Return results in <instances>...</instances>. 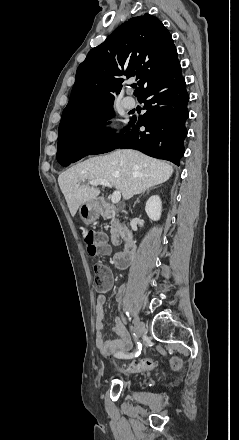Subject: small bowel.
<instances>
[{"label": "small bowel", "instance_id": "c3829d8e", "mask_svg": "<svg viewBox=\"0 0 239 440\" xmlns=\"http://www.w3.org/2000/svg\"><path fill=\"white\" fill-rule=\"evenodd\" d=\"M107 269L108 275H109V282L105 286L102 292H100L96 297V305H95V311H96V337L95 342L96 346L99 348L100 352L103 355H116L118 353H125L131 348L132 342L131 337L126 329L122 319L120 317H115V328L114 333L116 338L114 340H106L104 337V304L106 301L104 292L109 288L110 282H111V272L110 270L105 266ZM124 292L123 288H120L118 290V297H122Z\"/></svg>", "mask_w": 239, "mask_h": 440}]
</instances>
